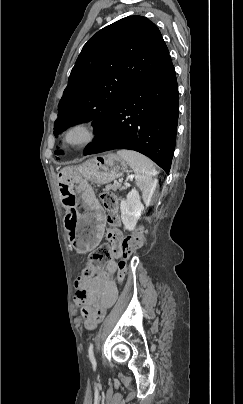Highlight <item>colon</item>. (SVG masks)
I'll return each mask as SVG.
<instances>
[{
	"mask_svg": "<svg viewBox=\"0 0 243 404\" xmlns=\"http://www.w3.org/2000/svg\"><path fill=\"white\" fill-rule=\"evenodd\" d=\"M101 201L108 211V222L111 225H117L118 217V202L115 195L111 192H103ZM144 243V234L142 230H136L126 236L121 243V261L119 262L118 280L122 282L126 276L127 261L130 257L142 247ZM111 260V247L108 244H102L89 255L88 262L82 271L83 279L93 278L98 270ZM105 314L97 316L98 322L102 321Z\"/></svg>",
	"mask_w": 243,
	"mask_h": 404,
	"instance_id": "1",
	"label": "colon"
}]
</instances>
